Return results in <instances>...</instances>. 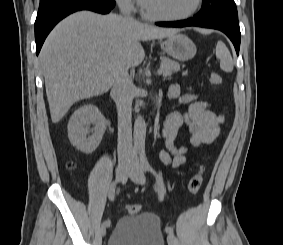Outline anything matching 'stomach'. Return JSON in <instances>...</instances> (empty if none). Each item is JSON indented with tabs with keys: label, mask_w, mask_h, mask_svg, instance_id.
<instances>
[{
	"label": "stomach",
	"mask_w": 283,
	"mask_h": 245,
	"mask_svg": "<svg viewBox=\"0 0 283 245\" xmlns=\"http://www.w3.org/2000/svg\"><path fill=\"white\" fill-rule=\"evenodd\" d=\"M161 49L179 61H188L196 54V46L193 41L180 33H175L163 41Z\"/></svg>",
	"instance_id": "1"
}]
</instances>
